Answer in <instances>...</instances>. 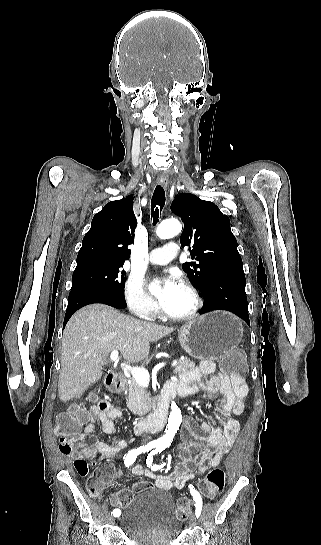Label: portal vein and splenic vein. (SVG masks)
<instances>
[{"mask_svg":"<svg viewBox=\"0 0 321 545\" xmlns=\"http://www.w3.org/2000/svg\"><path fill=\"white\" fill-rule=\"evenodd\" d=\"M119 355V351H112L110 355L111 361H117ZM177 359H174L173 365H170V368H173V366H178ZM122 369H125V371H128V373H131L133 379L139 383V385H142V387H147L150 383V375L146 369H140V367H130V365H125V363H121Z\"/></svg>","mask_w":321,"mask_h":545,"instance_id":"1","label":"portal vein and splenic vein"}]
</instances>
